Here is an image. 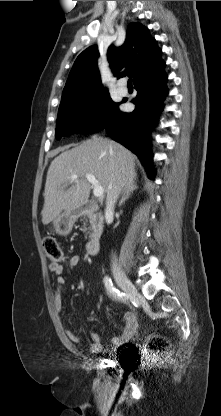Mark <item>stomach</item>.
Here are the masks:
<instances>
[{
	"label": "stomach",
	"instance_id": "0dacf381",
	"mask_svg": "<svg viewBox=\"0 0 221 416\" xmlns=\"http://www.w3.org/2000/svg\"><path fill=\"white\" fill-rule=\"evenodd\" d=\"M78 214L72 211H65L53 220V227L57 234L66 236L72 231Z\"/></svg>",
	"mask_w": 221,
	"mask_h": 416
}]
</instances>
